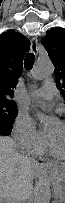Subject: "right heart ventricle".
<instances>
[{
    "instance_id": "e07e8e85",
    "label": "right heart ventricle",
    "mask_w": 65,
    "mask_h": 203,
    "mask_svg": "<svg viewBox=\"0 0 65 203\" xmlns=\"http://www.w3.org/2000/svg\"><path fill=\"white\" fill-rule=\"evenodd\" d=\"M47 152L46 145H43L42 147L38 148L37 150L31 152L33 155H44Z\"/></svg>"
}]
</instances>
